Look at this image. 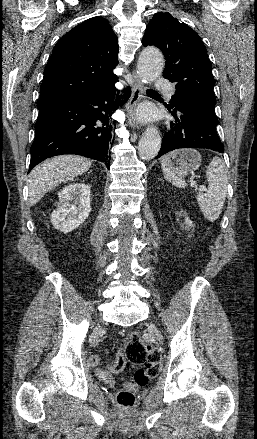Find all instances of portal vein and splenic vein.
Returning <instances> with one entry per match:
<instances>
[{
    "label": "portal vein and splenic vein",
    "instance_id": "1",
    "mask_svg": "<svg viewBox=\"0 0 257 439\" xmlns=\"http://www.w3.org/2000/svg\"><path fill=\"white\" fill-rule=\"evenodd\" d=\"M190 184H191L192 187H194V186H196V181L192 178L190 180ZM199 189L204 191V190H206V187L205 186H200Z\"/></svg>",
    "mask_w": 257,
    "mask_h": 439
}]
</instances>
